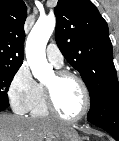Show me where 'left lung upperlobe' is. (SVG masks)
Segmentation results:
<instances>
[{
	"label": "left lung upper lobe",
	"instance_id": "left-lung-upper-lobe-1",
	"mask_svg": "<svg viewBox=\"0 0 119 141\" xmlns=\"http://www.w3.org/2000/svg\"><path fill=\"white\" fill-rule=\"evenodd\" d=\"M56 42L85 82L91 105L119 93L108 25L89 0H59Z\"/></svg>",
	"mask_w": 119,
	"mask_h": 141
}]
</instances>
